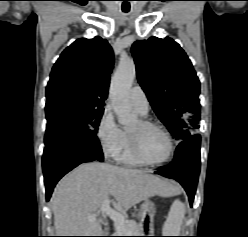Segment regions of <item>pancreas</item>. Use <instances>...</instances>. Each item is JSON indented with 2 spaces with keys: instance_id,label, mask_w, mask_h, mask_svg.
I'll return each mask as SVG.
<instances>
[{
  "instance_id": "1",
  "label": "pancreas",
  "mask_w": 248,
  "mask_h": 237,
  "mask_svg": "<svg viewBox=\"0 0 248 237\" xmlns=\"http://www.w3.org/2000/svg\"><path fill=\"white\" fill-rule=\"evenodd\" d=\"M142 226L134 220H125L124 227L117 228V236H140L142 235Z\"/></svg>"
}]
</instances>
